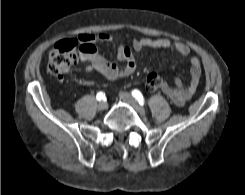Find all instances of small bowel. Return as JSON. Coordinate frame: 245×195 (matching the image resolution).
Instances as JSON below:
<instances>
[{
	"label": "small bowel",
	"instance_id": "c3829d8e",
	"mask_svg": "<svg viewBox=\"0 0 245 195\" xmlns=\"http://www.w3.org/2000/svg\"><path fill=\"white\" fill-rule=\"evenodd\" d=\"M113 37L107 33L81 34L78 37L81 50L79 59L86 63L87 72H96L109 80H116L120 77L132 75L137 69V61L134 57V52H139L144 48L153 49H172L179 56H187L190 53V48L183 42H171L168 39H150L140 38L132 42L131 47L117 44L116 58L122 63L118 66L108 62L102 57L95 46L96 42H111ZM86 47L88 49H86ZM202 74L201 62L198 57L190 58V80L187 86H184L180 78L175 79V86L164 84L163 92L177 106L184 105L196 92L199 80Z\"/></svg>",
	"mask_w": 245,
	"mask_h": 195
}]
</instances>
